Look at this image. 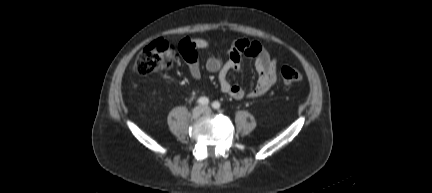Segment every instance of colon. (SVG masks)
Wrapping results in <instances>:
<instances>
[{"label":"colon","mask_w":432,"mask_h":193,"mask_svg":"<svg viewBox=\"0 0 432 193\" xmlns=\"http://www.w3.org/2000/svg\"><path fill=\"white\" fill-rule=\"evenodd\" d=\"M178 61L176 48L169 42L158 39L147 45L133 63L134 73L147 76L165 68L171 67ZM282 81L286 85L299 83L303 79L302 73L292 67L284 66L280 70Z\"/></svg>","instance_id":"5ec220e1"}]
</instances>
